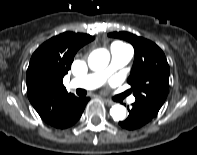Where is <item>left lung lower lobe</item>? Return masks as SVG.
Returning <instances> with one entry per match:
<instances>
[{
	"label": "left lung lower lobe",
	"instance_id": "obj_1",
	"mask_svg": "<svg viewBox=\"0 0 197 155\" xmlns=\"http://www.w3.org/2000/svg\"><path fill=\"white\" fill-rule=\"evenodd\" d=\"M129 110V107H128ZM157 114L147 107L138 102H134L131 110H129V116L126 120L119 122V124L128 130H134L147 124Z\"/></svg>",
	"mask_w": 197,
	"mask_h": 155
}]
</instances>
